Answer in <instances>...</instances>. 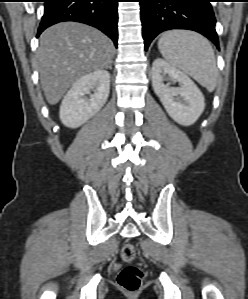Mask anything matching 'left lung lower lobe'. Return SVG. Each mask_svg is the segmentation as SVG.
<instances>
[{
    "label": "left lung lower lobe",
    "instance_id": "obj_1",
    "mask_svg": "<svg viewBox=\"0 0 248 299\" xmlns=\"http://www.w3.org/2000/svg\"><path fill=\"white\" fill-rule=\"evenodd\" d=\"M139 2L146 50L159 33L170 29L196 31L219 46L211 0H140Z\"/></svg>",
    "mask_w": 248,
    "mask_h": 299
}]
</instances>
